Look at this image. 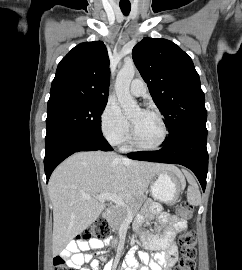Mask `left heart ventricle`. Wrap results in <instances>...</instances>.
I'll return each mask as SVG.
<instances>
[{
    "label": "left heart ventricle",
    "instance_id": "left-heart-ventricle-1",
    "mask_svg": "<svg viewBox=\"0 0 242 270\" xmlns=\"http://www.w3.org/2000/svg\"><path fill=\"white\" fill-rule=\"evenodd\" d=\"M129 118L133 124L138 142L144 145H152L160 140L162 129L155 115L137 109Z\"/></svg>",
    "mask_w": 242,
    "mask_h": 270
}]
</instances>
